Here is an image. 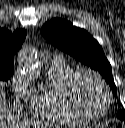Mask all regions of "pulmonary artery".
<instances>
[{"label":"pulmonary artery","mask_w":125,"mask_h":128,"mask_svg":"<svg viewBox=\"0 0 125 128\" xmlns=\"http://www.w3.org/2000/svg\"><path fill=\"white\" fill-rule=\"evenodd\" d=\"M54 60H62V57L61 56H57Z\"/></svg>","instance_id":"1"}]
</instances>
